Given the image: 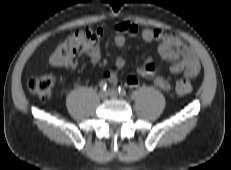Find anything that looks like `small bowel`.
<instances>
[{
    "label": "small bowel",
    "mask_w": 231,
    "mask_h": 170,
    "mask_svg": "<svg viewBox=\"0 0 231 170\" xmlns=\"http://www.w3.org/2000/svg\"><path fill=\"white\" fill-rule=\"evenodd\" d=\"M103 33V29H97L95 35L82 44L80 51L73 57L68 66L70 70L76 69L78 56L81 54H87L92 65H96L100 61L99 41ZM138 35H140L145 42L157 41L159 43V54L164 60L171 62L169 66L171 73L183 72L186 77H194L199 73L200 64L195 50L181 38L160 29L144 28L139 30L136 24L124 22L115 26L114 44L119 52L113 66L103 75L110 83H117L119 72L126 64V57L122 51L126 44V37H136ZM138 73L143 78L153 82L160 89L164 91L171 90V84L161 75L158 67L151 59H147L145 63L139 67ZM128 84L130 86H137L138 79L130 76L128 78Z\"/></svg>",
    "instance_id": "c3829d8e"
}]
</instances>
